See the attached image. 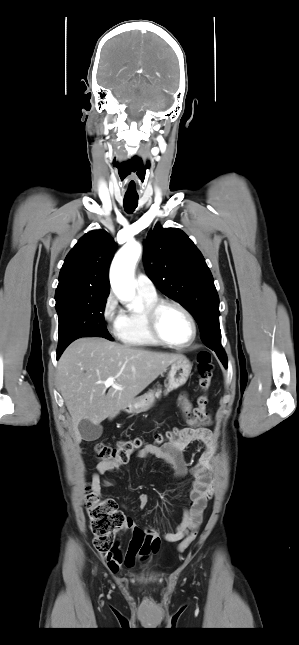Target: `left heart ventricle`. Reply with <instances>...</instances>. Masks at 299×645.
I'll return each mask as SVG.
<instances>
[{"label": "left heart ventricle", "instance_id": "obj_1", "mask_svg": "<svg viewBox=\"0 0 299 645\" xmlns=\"http://www.w3.org/2000/svg\"><path fill=\"white\" fill-rule=\"evenodd\" d=\"M159 328L164 338L175 343L186 342L192 332L190 322L185 314L171 306L162 310Z\"/></svg>", "mask_w": 299, "mask_h": 645}]
</instances>
